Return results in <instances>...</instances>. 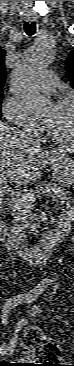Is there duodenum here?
<instances>
[{
	"label": "duodenum",
	"mask_w": 74,
	"mask_h": 366,
	"mask_svg": "<svg viewBox=\"0 0 74 366\" xmlns=\"http://www.w3.org/2000/svg\"><path fill=\"white\" fill-rule=\"evenodd\" d=\"M2 238L4 242L17 249L24 258L29 260L34 257V252L32 249L20 244L17 240H15L13 234L7 227H5L2 231ZM59 240L60 235L58 233H47L43 236L37 249L39 252L47 253L53 249Z\"/></svg>",
	"instance_id": "1"
}]
</instances>
